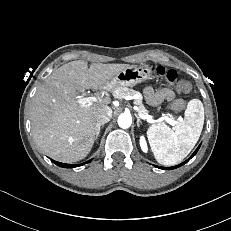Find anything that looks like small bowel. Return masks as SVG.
<instances>
[{
    "label": "small bowel",
    "mask_w": 231,
    "mask_h": 231,
    "mask_svg": "<svg viewBox=\"0 0 231 231\" xmlns=\"http://www.w3.org/2000/svg\"><path fill=\"white\" fill-rule=\"evenodd\" d=\"M145 96L150 104L158 105L164 101H171L175 94L168 88L155 91L152 87H147L145 89Z\"/></svg>",
    "instance_id": "obj_1"
}]
</instances>
